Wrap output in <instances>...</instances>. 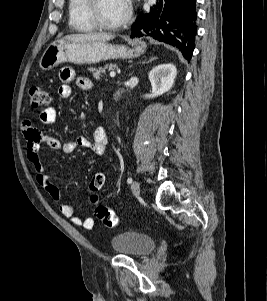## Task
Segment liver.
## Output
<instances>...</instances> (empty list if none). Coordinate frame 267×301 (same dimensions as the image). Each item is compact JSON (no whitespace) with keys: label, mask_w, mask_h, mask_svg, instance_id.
<instances>
[{"label":"liver","mask_w":267,"mask_h":301,"mask_svg":"<svg viewBox=\"0 0 267 301\" xmlns=\"http://www.w3.org/2000/svg\"><path fill=\"white\" fill-rule=\"evenodd\" d=\"M114 35L106 33H87V34H72L67 35L63 39L74 42H87V41H109L114 39Z\"/></svg>","instance_id":"1"}]
</instances>
